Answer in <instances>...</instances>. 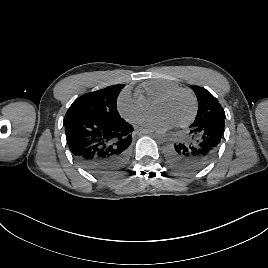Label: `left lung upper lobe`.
Segmentation results:
<instances>
[{"label":"left lung upper lobe","instance_id":"5c2ea615","mask_svg":"<svg viewBox=\"0 0 268 268\" xmlns=\"http://www.w3.org/2000/svg\"><path fill=\"white\" fill-rule=\"evenodd\" d=\"M191 89L198 99V112L190 128L203 124H214L217 119H225L224 109L208 90L196 85H192Z\"/></svg>","mask_w":268,"mask_h":268}]
</instances>
